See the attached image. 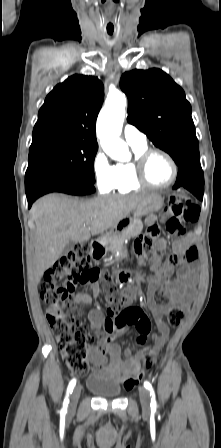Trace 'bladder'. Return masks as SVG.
I'll list each match as a JSON object with an SVG mask.
<instances>
[{"label":"bladder","mask_w":221,"mask_h":448,"mask_svg":"<svg viewBox=\"0 0 221 448\" xmlns=\"http://www.w3.org/2000/svg\"><path fill=\"white\" fill-rule=\"evenodd\" d=\"M86 387L95 397L102 399H117L122 391L119 382L100 374L89 375Z\"/></svg>","instance_id":"31cf9c89"}]
</instances>
